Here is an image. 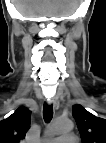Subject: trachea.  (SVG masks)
Here are the masks:
<instances>
[{"label": "trachea", "mask_w": 106, "mask_h": 143, "mask_svg": "<svg viewBox=\"0 0 106 143\" xmlns=\"http://www.w3.org/2000/svg\"><path fill=\"white\" fill-rule=\"evenodd\" d=\"M43 117L46 122H50L53 117V105L44 103L43 105Z\"/></svg>", "instance_id": "trachea-1"}]
</instances>
